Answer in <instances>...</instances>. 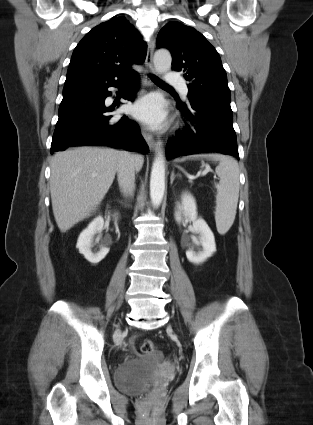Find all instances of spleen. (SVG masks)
Segmentation results:
<instances>
[{"label":"spleen","mask_w":313,"mask_h":425,"mask_svg":"<svg viewBox=\"0 0 313 425\" xmlns=\"http://www.w3.org/2000/svg\"><path fill=\"white\" fill-rule=\"evenodd\" d=\"M201 157L218 161L216 173L220 178L216 195L215 221L217 231L225 234L232 226L239 198V166L237 161L222 154H206Z\"/></svg>","instance_id":"spleen-1"}]
</instances>
